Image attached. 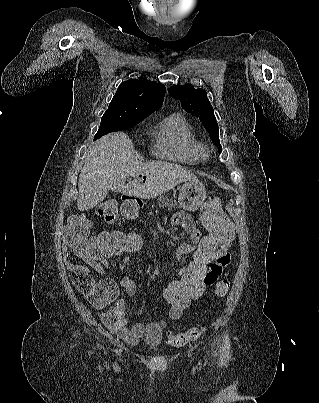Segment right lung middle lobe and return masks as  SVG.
Returning <instances> with one entry per match:
<instances>
[{
	"instance_id": "right-lung-middle-lobe-1",
	"label": "right lung middle lobe",
	"mask_w": 319,
	"mask_h": 403,
	"mask_svg": "<svg viewBox=\"0 0 319 403\" xmlns=\"http://www.w3.org/2000/svg\"><path fill=\"white\" fill-rule=\"evenodd\" d=\"M146 116L135 115L121 108H110L106 110L101 118V123L94 140L110 132L126 130L136 126Z\"/></svg>"
}]
</instances>
